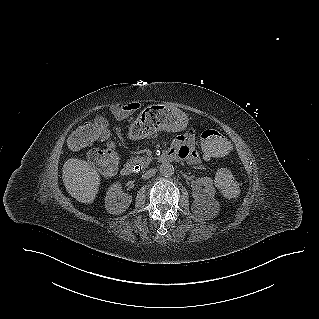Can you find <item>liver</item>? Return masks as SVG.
<instances>
[{
	"label": "liver",
	"instance_id": "liver-1",
	"mask_svg": "<svg viewBox=\"0 0 319 319\" xmlns=\"http://www.w3.org/2000/svg\"><path fill=\"white\" fill-rule=\"evenodd\" d=\"M62 179L69 194L81 203H92L99 191L100 175L82 159H68L63 165Z\"/></svg>",
	"mask_w": 319,
	"mask_h": 319
}]
</instances>
